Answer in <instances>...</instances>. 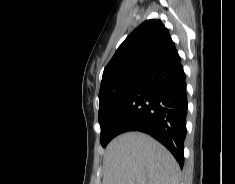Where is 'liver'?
<instances>
[{"label": "liver", "instance_id": "1", "mask_svg": "<svg viewBox=\"0 0 235 184\" xmlns=\"http://www.w3.org/2000/svg\"><path fill=\"white\" fill-rule=\"evenodd\" d=\"M103 184H180V168L159 142L127 132L108 144Z\"/></svg>", "mask_w": 235, "mask_h": 184}]
</instances>
